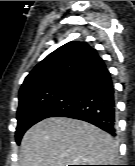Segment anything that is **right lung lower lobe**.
<instances>
[{
  "mask_svg": "<svg viewBox=\"0 0 135 166\" xmlns=\"http://www.w3.org/2000/svg\"><path fill=\"white\" fill-rule=\"evenodd\" d=\"M70 86L73 93L70 104L52 117L83 120L115 136L117 128L115 90L105 64Z\"/></svg>",
  "mask_w": 135,
  "mask_h": 166,
  "instance_id": "obj_1",
  "label": "right lung lower lobe"
}]
</instances>
